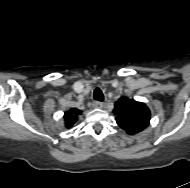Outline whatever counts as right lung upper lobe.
<instances>
[{
    "mask_svg": "<svg viewBox=\"0 0 190 188\" xmlns=\"http://www.w3.org/2000/svg\"><path fill=\"white\" fill-rule=\"evenodd\" d=\"M82 113L77 108H71L64 113V121L66 128H71L78 120V116Z\"/></svg>",
    "mask_w": 190,
    "mask_h": 188,
    "instance_id": "cb5924a9",
    "label": "right lung upper lobe"
}]
</instances>
